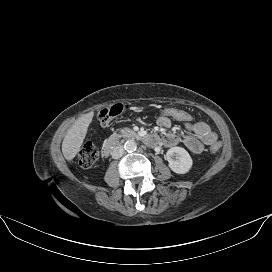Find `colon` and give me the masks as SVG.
Wrapping results in <instances>:
<instances>
[{"instance_id": "colon-1", "label": "colon", "mask_w": 272, "mask_h": 272, "mask_svg": "<svg viewBox=\"0 0 272 272\" xmlns=\"http://www.w3.org/2000/svg\"><path fill=\"white\" fill-rule=\"evenodd\" d=\"M127 108L122 104H113L104 107L97 114L96 118L98 121L106 125L108 124L114 117L123 113ZM160 116L174 119L179 122H188L194 119L193 115L185 110L178 108H166L160 112ZM220 149L219 143H214L210 147V151L212 153L218 152ZM99 157V151L97 147L92 142L85 143L78 154V163L83 168L91 167Z\"/></svg>"}]
</instances>
